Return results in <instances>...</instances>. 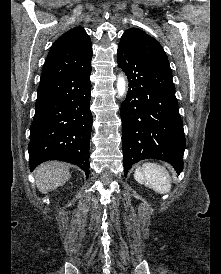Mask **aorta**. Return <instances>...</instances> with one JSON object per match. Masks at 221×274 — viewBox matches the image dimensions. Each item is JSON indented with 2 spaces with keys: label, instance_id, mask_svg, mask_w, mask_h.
Listing matches in <instances>:
<instances>
[{
  "label": "aorta",
  "instance_id": "obj_1",
  "mask_svg": "<svg viewBox=\"0 0 221 274\" xmlns=\"http://www.w3.org/2000/svg\"><path fill=\"white\" fill-rule=\"evenodd\" d=\"M117 92H118V96L122 97L125 95L126 93V81L125 78L123 76H119L117 79Z\"/></svg>",
  "mask_w": 221,
  "mask_h": 274
}]
</instances>
